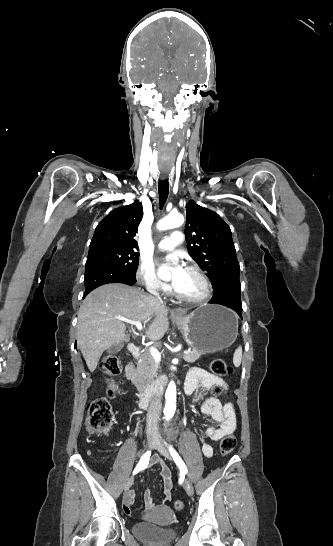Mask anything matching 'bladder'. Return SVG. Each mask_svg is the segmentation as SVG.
<instances>
[{"label":"bladder","instance_id":"1","mask_svg":"<svg viewBox=\"0 0 333 546\" xmlns=\"http://www.w3.org/2000/svg\"><path fill=\"white\" fill-rule=\"evenodd\" d=\"M132 533L140 540L156 543H167L176 536V531L173 528L160 527L146 522L134 524Z\"/></svg>","mask_w":333,"mask_h":546}]
</instances>
